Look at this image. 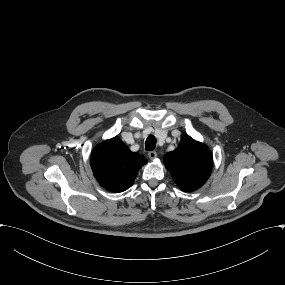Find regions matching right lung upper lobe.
Returning <instances> with one entry per match:
<instances>
[{
  "mask_svg": "<svg viewBox=\"0 0 285 285\" xmlns=\"http://www.w3.org/2000/svg\"><path fill=\"white\" fill-rule=\"evenodd\" d=\"M144 156L131 152L118 138L98 144L92 152L91 167L99 184L112 192H123L134 182Z\"/></svg>",
  "mask_w": 285,
  "mask_h": 285,
  "instance_id": "obj_1",
  "label": "right lung upper lobe"
}]
</instances>
